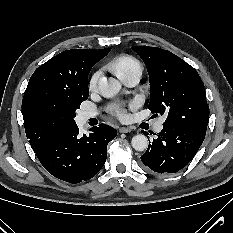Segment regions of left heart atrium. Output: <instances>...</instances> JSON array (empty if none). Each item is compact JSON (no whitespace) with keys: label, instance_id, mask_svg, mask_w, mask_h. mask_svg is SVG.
<instances>
[{"label":"left heart atrium","instance_id":"obj_1","mask_svg":"<svg viewBox=\"0 0 233 233\" xmlns=\"http://www.w3.org/2000/svg\"><path fill=\"white\" fill-rule=\"evenodd\" d=\"M130 106L133 107L134 104L132 103ZM110 109H111L112 113L114 115H116L118 118L124 119L126 117V109H125L124 105L113 104V105H111Z\"/></svg>","mask_w":233,"mask_h":233}]
</instances>
